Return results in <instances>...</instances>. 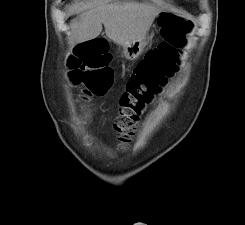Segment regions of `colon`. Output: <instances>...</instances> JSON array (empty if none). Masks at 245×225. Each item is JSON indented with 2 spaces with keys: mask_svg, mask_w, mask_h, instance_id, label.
Wrapping results in <instances>:
<instances>
[{
  "mask_svg": "<svg viewBox=\"0 0 245 225\" xmlns=\"http://www.w3.org/2000/svg\"><path fill=\"white\" fill-rule=\"evenodd\" d=\"M158 22L163 41L134 66L120 97L122 105L114 129L122 148L132 142L145 109L177 70L176 57L191 28L189 22L169 11L162 12ZM110 63L111 55L104 41H80L68 60V74L76 81H84V98L104 96L110 90L114 82V70Z\"/></svg>",
  "mask_w": 245,
  "mask_h": 225,
  "instance_id": "1",
  "label": "colon"
}]
</instances>
